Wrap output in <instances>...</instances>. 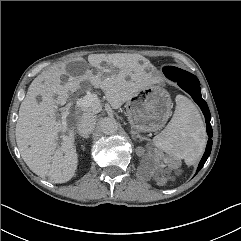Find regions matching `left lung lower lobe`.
<instances>
[{"label":"left lung lower lobe","mask_w":241,"mask_h":241,"mask_svg":"<svg viewBox=\"0 0 241 241\" xmlns=\"http://www.w3.org/2000/svg\"><path fill=\"white\" fill-rule=\"evenodd\" d=\"M167 77L175 82H178V85L183 90H185L187 93H189L191 95V97L193 98V100L199 105V107L201 108V110L203 111V114L205 116L207 134L209 137H212L213 132H212L211 124H210V119H211L210 111L207 106V103L201 96L199 80L195 76L192 79H182V78H179L178 76H171V75H169ZM211 148H212V140L209 138L207 146H206V151L199 163L198 171L201 170V168L204 166L206 160L208 159L210 152H211Z\"/></svg>","instance_id":"1"}]
</instances>
